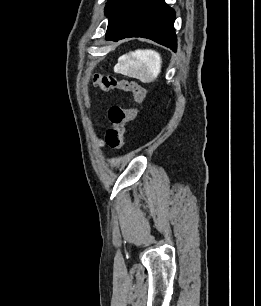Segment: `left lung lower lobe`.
I'll return each mask as SVG.
<instances>
[{"label": "left lung lower lobe", "mask_w": 261, "mask_h": 306, "mask_svg": "<svg viewBox=\"0 0 261 306\" xmlns=\"http://www.w3.org/2000/svg\"><path fill=\"white\" fill-rule=\"evenodd\" d=\"M174 20L175 12L164 0H132L106 38L144 37L176 52Z\"/></svg>", "instance_id": "0a47b994"}]
</instances>
